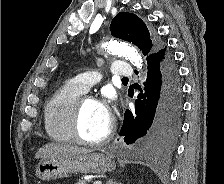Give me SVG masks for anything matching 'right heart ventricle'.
Returning <instances> with one entry per match:
<instances>
[{
  "instance_id": "e07e8e85",
  "label": "right heart ventricle",
  "mask_w": 224,
  "mask_h": 184,
  "mask_svg": "<svg viewBox=\"0 0 224 184\" xmlns=\"http://www.w3.org/2000/svg\"><path fill=\"white\" fill-rule=\"evenodd\" d=\"M83 94L68 82L58 88L45 106L44 124L49 138L58 143H72L70 120L76 101Z\"/></svg>"
}]
</instances>
